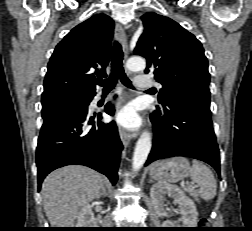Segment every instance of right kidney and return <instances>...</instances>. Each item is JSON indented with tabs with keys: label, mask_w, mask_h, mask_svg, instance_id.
<instances>
[{
	"label": "right kidney",
	"mask_w": 252,
	"mask_h": 231,
	"mask_svg": "<svg viewBox=\"0 0 252 231\" xmlns=\"http://www.w3.org/2000/svg\"><path fill=\"white\" fill-rule=\"evenodd\" d=\"M78 228H95L97 227L94 214L89 205L84 206L77 216Z\"/></svg>",
	"instance_id": "ca27d5eb"
}]
</instances>
